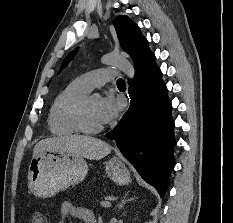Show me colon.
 <instances>
[{
  "label": "colon",
  "instance_id": "colon-1",
  "mask_svg": "<svg viewBox=\"0 0 233 223\" xmlns=\"http://www.w3.org/2000/svg\"><path fill=\"white\" fill-rule=\"evenodd\" d=\"M33 223H45V219L42 216L37 215L34 217Z\"/></svg>",
  "mask_w": 233,
  "mask_h": 223
}]
</instances>
